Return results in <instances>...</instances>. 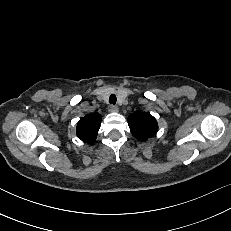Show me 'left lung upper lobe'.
I'll return each instance as SVG.
<instances>
[{
  "mask_svg": "<svg viewBox=\"0 0 231 231\" xmlns=\"http://www.w3.org/2000/svg\"><path fill=\"white\" fill-rule=\"evenodd\" d=\"M131 133L139 140L145 141L158 130V124L150 113L135 112L128 117Z\"/></svg>",
  "mask_w": 231,
  "mask_h": 231,
  "instance_id": "1",
  "label": "left lung upper lobe"
}]
</instances>
